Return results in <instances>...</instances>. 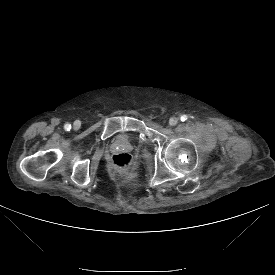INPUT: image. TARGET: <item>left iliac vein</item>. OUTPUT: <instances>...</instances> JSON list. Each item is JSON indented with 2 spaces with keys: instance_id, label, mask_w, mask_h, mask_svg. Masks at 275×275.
I'll use <instances>...</instances> for the list:
<instances>
[{
  "instance_id": "4c4485c4",
  "label": "left iliac vein",
  "mask_w": 275,
  "mask_h": 275,
  "mask_svg": "<svg viewBox=\"0 0 275 275\" xmlns=\"http://www.w3.org/2000/svg\"><path fill=\"white\" fill-rule=\"evenodd\" d=\"M178 118L177 117H171L170 119H169V124L171 125V126H175L177 123H178Z\"/></svg>"
}]
</instances>
